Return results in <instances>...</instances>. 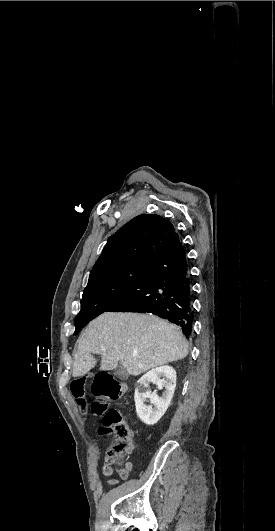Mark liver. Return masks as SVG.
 Wrapping results in <instances>:
<instances>
[{
  "label": "liver",
  "mask_w": 275,
  "mask_h": 531,
  "mask_svg": "<svg viewBox=\"0 0 275 531\" xmlns=\"http://www.w3.org/2000/svg\"><path fill=\"white\" fill-rule=\"evenodd\" d=\"M91 353L102 355L101 371H112L121 363L129 375L137 377L184 359L188 343L179 327L154 315L103 313L89 323L78 343L73 377H83L95 367ZM132 353H137L136 357Z\"/></svg>",
  "instance_id": "obj_1"
}]
</instances>
